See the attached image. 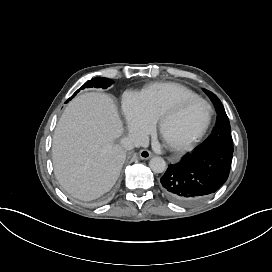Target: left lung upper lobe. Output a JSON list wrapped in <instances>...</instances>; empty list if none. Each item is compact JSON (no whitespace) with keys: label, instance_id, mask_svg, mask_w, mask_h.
Listing matches in <instances>:
<instances>
[{"label":"left lung upper lobe","instance_id":"obj_1","mask_svg":"<svg viewBox=\"0 0 272 272\" xmlns=\"http://www.w3.org/2000/svg\"><path fill=\"white\" fill-rule=\"evenodd\" d=\"M205 92L213 102L218 117L216 127L212 135L207 140V142L199 148V150L223 149L233 152V141L230 132V123L224 110V107L215 94L208 90H205Z\"/></svg>","mask_w":272,"mask_h":272}]
</instances>
